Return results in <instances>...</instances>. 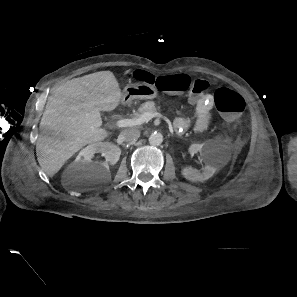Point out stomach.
<instances>
[{"label":"stomach","mask_w":297,"mask_h":297,"mask_svg":"<svg viewBox=\"0 0 297 297\" xmlns=\"http://www.w3.org/2000/svg\"><path fill=\"white\" fill-rule=\"evenodd\" d=\"M157 96V90L153 84L138 82L124 88L121 95L122 103H130L134 99H153Z\"/></svg>","instance_id":"obj_1"}]
</instances>
